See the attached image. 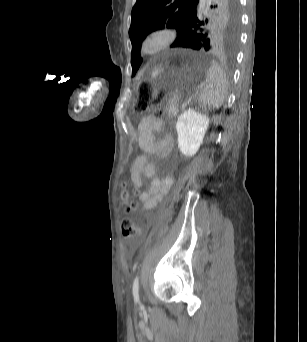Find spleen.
<instances>
[{
  "label": "spleen",
  "instance_id": "spleen-1",
  "mask_svg": "<svg viewBox=\"0 0 307 342\" xmlns=\"http://www.w3.org/2000/svg\"><path fill=\"white\" fill-rule=\"evenodd\" d=\"M210 61L212 66L206 74L205 88L198 98L199 102H202L204 110L220 108L227 96L226 76L213 58Z\"/></svg>",
  "mask_w": 307,
  "mask_h": 342
}]
</instances>
